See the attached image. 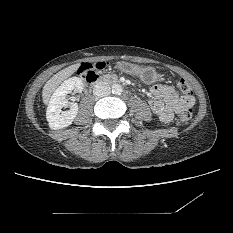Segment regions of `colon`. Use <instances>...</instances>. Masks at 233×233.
<instances>
[{
    "label": "colon",
    "instance_id": "obj_1",
    "mask_svg": "<svg viewBox=\"0 0 233 233\" xmlns=\"http://www.w3.org/2000/svg\"><path fill=\"white\" fill-rule=\"evenodd\" d=\"M107 67H109V63L104 61H99L97 63H82L78 68V74H80L83 78L86 76L89 77L97 74L98 71L105 70ZM177 86L179 90L182 92L185 99H187L188 101L193 100L192 89L184 79L179 80ZM191 115V110L184 111L176 120V124L178 126L183 125L191 118Z\"/></svg>",
    "mask_w": 233,
    "mask_h": 233
}]
</instances>
